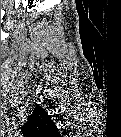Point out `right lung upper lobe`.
Here are the masks:
<instances>
[{
	"label": "right lung upper lobe",
	"mask_w": 121,
	"mask_h": 137,
	"mask_svg": "<svg viewBox=\"0 0 121 137\" xmlns=\"http://www.w3.org/2000/svg\"><path fill=\"white\" fill-rule=\"evenodd\" d=\"M23 131L28 135L58 133L51 117L39 106L34 109L33 115L29 118V121Z\"/></svg>",
	"instance_id": "obj_1"
}]
</instances>
